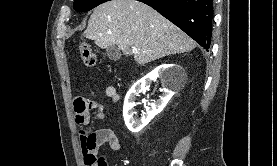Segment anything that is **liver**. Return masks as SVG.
Masks as SVG:
<instances>
[{
	"instance_id": "obj_1",
	"label": "liver",
	"mask_w": 277,
	"mask_h": 166,
	"mask_svg": "<svg viewBox=\"0 0 277 166\" xmlns=\"http://www.w3.org/2000/svg\"><path fill=\"white\" fill-rule=\"evenodd\" d=\"M84 36L102 49L117 45L126 56L137 48L134 60L140 65L196 47L176 25L136 0H110L97 6Z\"/></svg>"
}]
</instances>
